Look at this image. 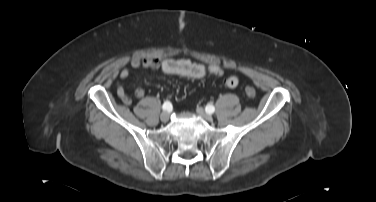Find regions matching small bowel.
<instances>
[{"mask_svg":"<svg viewBox=\"0 0 376 202\" xmlns=\"http://www.w3.org/2000/svg\"><path fill=\"white\" fill-rule=\"evenodd\" d=\"M130 65L135 69L143 67L159 70L166 75H177L192 79H202L209 74L223 75L222 69L217 65H204L188 59L161 60L156 57L133 58ZM129 76L130 70L127 67L120 70L119 77L121 79H127ZM223 83L229 88H234L238 85V78L235 76H227L223 78ZM134 94L136 98H143L145 91L143 88H137ZM116 95L122 103L126 105H130L132 103V98L120 84H118L116 87Z\"/></svg>","mask_w":376,"mask_h":202,"instance_id":"obj_1","label":"small bowel"}]
</instances>
